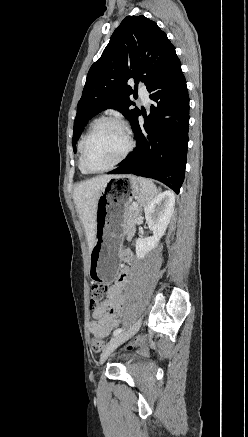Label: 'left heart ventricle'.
<instances>
[{"label": "left heart ventricle", "mask_w": 248, "mask_h": 437, "mask_svg": "<svg viewBox=\"0 0 248 437\" xmlns=\"http://www.w3.org/2000/svg\"><path fill=\"white\" fill-rule=\"evenodd\" d=\"M126 146L122 129L117 125L107 124L91 139L87 149V162L93 169L105 168L122 155Z\"/></svg>", "instance_id": "left-heart-ventricle-1"}]
</instances>
